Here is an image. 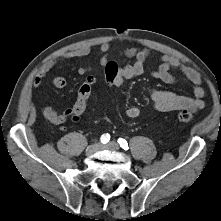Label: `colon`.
Masks as SVG:
<instances>
[{
  "label": "colon",
  "instance_id": "obj_1",
  "mask_svg": "<svg viewBox=\"0 0 221 221\" xmlns=\"http://www.w3.org/2000/svg\"><path fill=\"white\" fill-rule=\"evenodd\" d=\"M105 68L106 69H104L101 72L100 75L101 79L108 84L114 83L116 81L118 71L120 68L119 64L115 60L110 59L106 62ZM93 83H94V78L92 76H88L86 77L84 83L80 86L77 93L75 104L73 106L74 114L72 118L74 120H78L85 111L88 99L91 95ZM176 118L178 121L182 123H190L191 121H193L194 116L191 112L184 110L179 112Z\"/></svg>",
  "mask_w": 221,
  "mask_h": 221
}]
</instances>
